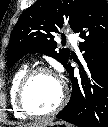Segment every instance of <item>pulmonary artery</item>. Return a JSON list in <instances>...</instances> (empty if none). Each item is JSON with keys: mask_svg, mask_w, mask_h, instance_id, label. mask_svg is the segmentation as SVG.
Masks as SVG:
<instances>
[{"mask_svg": "<svg viewBox=\"0 0 108 127\" xmlns=\"http://www.w3.org/2000/svg\"><path fill=\"white\" fill-rule=\"evenodd\" d=\"M68 40H69V42L72 44V46H73L74 48H77V37H76V35H74V34H69V35H68Z\"/></svg>", "mask_w": 108, "mask_h": 127, "instance_id": "pulmonary-artery-1", "label": "pulmonary artery"}]
</instances>
